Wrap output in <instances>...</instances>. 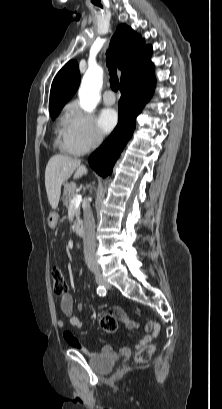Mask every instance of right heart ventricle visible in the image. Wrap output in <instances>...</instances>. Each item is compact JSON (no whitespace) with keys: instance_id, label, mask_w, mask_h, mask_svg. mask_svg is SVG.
I'll list each match as a JSON object with an SVG mask.
<instances>
[{"instance_id":"e07e8e85","label":"right heart ventricle","mask_w":222,"mask_h":409,"mask_svg":"<svg viewBox=\"0 0 222 409\" xmlns=\"http://www.w3.org/2000/svg\"><path fill=\"white\" fill-rule=\"evenodd\" d=\"M61 125H62V127H60V128L58 129L59 142H60V144L62 145L63 149H64L67 153L73 154V155H77L78 153L75 152V151L68 145V143H67V140H66V137H65V134H64V127H63V125H64V120L62 121Z\"/></svg>"}]
</instances>
